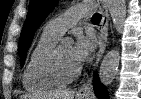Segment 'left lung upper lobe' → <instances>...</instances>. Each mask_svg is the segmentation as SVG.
I'll return each mask as SVG.
<instances>
[{
	"instance_id": "1",
	"label": "left lung upper lobe",
	"mask_w": 141,
	"mask_h": 99,
	"mask_svg": "<svg viewBox=\"0 0 141 99\" xmlns=\"http://www.w3.org/2000/svg\"><path fill=\"white\" fill-rule=\"evenodd\" d=\"M58 0H31L28 8V14L20 36L19 53L21 66L25 62V56L32 42L37 28L55 8Z\"/></svg>"
}]
</instances>
